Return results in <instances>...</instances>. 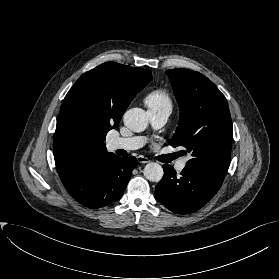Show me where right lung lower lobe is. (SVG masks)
<instances>
[{
  "instance_id": "98d812e1",
  "label": "right lung lower lobe",
  "mask_w": 279,
  "mask_h": 279,
  "mask_svg": "<svg viewBox=\"0 0 279 279\" xmlns=\"http://www.w3.org/2000/svg\"><path fill=\"white\" fill-rule=\"evenodd\" d=\"M136 165L133 156L113 154L82 162L60 179L77 202L88 208H100L123 195Z\"/></svg>"
}]
</instances>
